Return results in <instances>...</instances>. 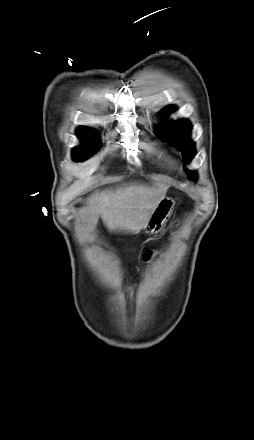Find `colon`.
Listing matches in <instances>:
<instances>
[{
  "mask_svg": "<svg viewBox=\"0 0 254 440\" xmlns=\"http://www.w3.org/2000/svg\"><path fill=\"white\" fill-rule=\"evenodd\" d=\"M151 254H152L151 251H146L144 254V258L147 260L151 256Z\"/></svg>",
  "mask_w": 254,
  "mask_h": 440,
  "instance_id": "5ec220e1",
  "label": "colon"
}]
</instances>
